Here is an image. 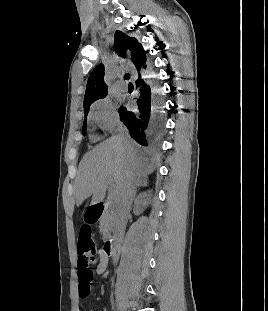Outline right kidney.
<instances>
[{
    "label": "right kidney",
    "mask_w": 268,
    "mask_h": 311,
    "mask_svg": "<svg viewBox=\"0 0 268 311\" xmlns=\"http://www.w3.org/2000/svg\"><path fill=\"white\" fill-rule=\"evenodd\" d=\"M150 198H151V191L140 193V195L135 201V208H134L135 214L139 215L144 211L146 206L149 204Z\"/></svg>",
    "instance_id": "right-kidney-1"
}]
</instances>
